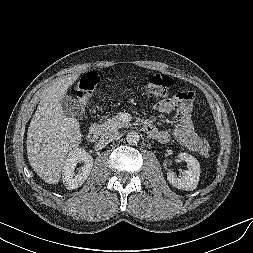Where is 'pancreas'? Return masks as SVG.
<instances>
[{
    "label": "pancreas",
    "mask_w": 253,
    "mask_h": 253,
    "mask_svg": "<svg viewBox=\"0 0 253 253\" xmlns=\"http://www.w3.org/2000/svg\"><path fill=\"white\" fill-rule=\"evenodd\" d=\"M125 126H128V124L123 122L119 116L109 118L104 123L98 125L99 131L102 135L117 131Z\"/></svg>",
    "instance_id": "1"
}]
</instances>
